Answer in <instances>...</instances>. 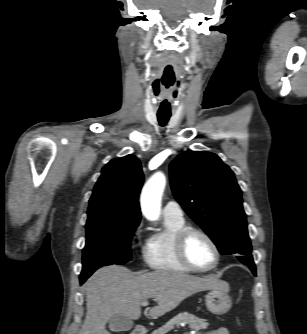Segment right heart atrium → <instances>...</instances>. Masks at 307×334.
Segmentation results:
<instances>
[{
  "label": "right heart atrium",
  "instance_id": "1",
  "mask_svg": "<svg viewBox=\"0 0 307 334\" xmlns=\"http://www.w3.org/2000/svg\"><path fill=\"white\" fill-rule=\"evenodd\" d=\"M143 231H144L143 224L142 223L138 224L134 230L133 239L139 241Z\"/></svg>",
  "mask_w": 307,
  "mask_h": 334
}]
</instances>
